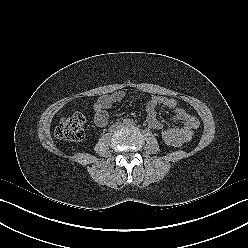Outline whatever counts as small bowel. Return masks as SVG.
<instances>
[{
  "label": "small bowel",
  "mask_w": 248,
  "mask_h": 248,
  "mask_svg": "<svg viewBox=\"0 0 248 248\" xmlns=\"http://www.w3.org/2000/svg\"><path fill=\"white\" fill-rule=\"evenodd\" d=\"M125 96L124 91L118 90L110 94H104L95 101L93 105L94 122L98 127L107 125L109 121L107 110L115 103L122 101ZM146 106L147 123L155 130H162L164 128L163 123L157 117V107L164 106L173 112V120L181 121L183 125L167 130L174 132L179 137L181 144L189 141L193 136L194 130L199 127V120L185 109L179 107L174 99L154 95L146 99Z\"/></svg>",
  "instance_id": "small-bowel-1"
}]
</instances>
